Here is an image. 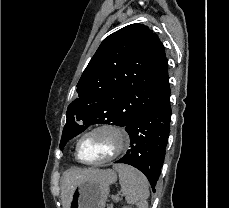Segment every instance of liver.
<instances>
[{
	"mask_svg": "<svg viewBox=\"0 0 229 208\" xmlns=\"http://www.w3.org/2000/svg\"><path fill=\"white\" fill-rule=\"evenodd\" d=\"M103 170L98 168H76V170H69L67 174H64L62 180L61 200L63 208H69V202L71 196L78 184L86 182V180H94V178H100Z\"/></svg>",
	"mask_w": 229,
	"mask_h": 208,
	"instance_id": "liver-1",
	"label": "liver"
}]
</instances>
